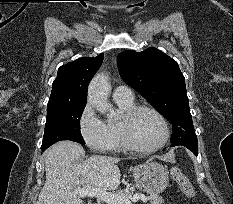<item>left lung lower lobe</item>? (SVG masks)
I'll use <instances>...</instances> for the list:
<instances>
[{
	"mask_svg": "<svg viewBox=\"0 0 233 204\" xmlns=\"http://www.w3.org/2000/svg\"><path fill=\"white\" fill-rule=\"evenodd\" d=\"M182 145L191 150L195 155L198 154V142L196 136H188L186 138L181 139L180 141L172 143L171 146Z\"/></svg>",
	"mask_w": 233,
	"mask_h": 204,
	"instance_id": "left-lung-lower-lobe-1",
	"label": "left lung lower lobe"
}]
</instances>
